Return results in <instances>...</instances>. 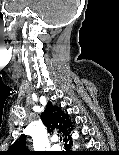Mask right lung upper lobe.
I'll use <instances>...</instances> for the list:
<instances>
[{
	"instance_id": "cb5924a9",
	"label": "right lung upper lobe",
	"mask_w": 119,
	"mask_h": 155,
	"mask_svg": "<svg viewBox=\"0 0 119 155\" xmlns=\"http://www.w3.org/2000/svg\"><path fill=\"white\" fill-rule=\"evenodd\" d=\"M41 120L49 132L59 129V132L64 135L65 140L72 131L73 125L69 116L64 114L60 108L53 106L51 102L47 103L46 109L41 115ZM25 143V137L21 136L10 146L5 155H31V152L26 149Z\"/></svg>"
}]
</instances>
